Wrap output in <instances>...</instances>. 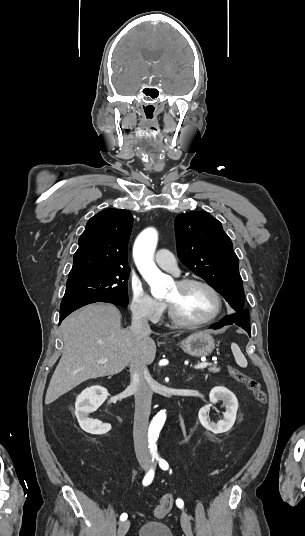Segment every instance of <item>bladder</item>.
<instances>
[{
    "label": "bladder",
    "instance_id": "obj_1",
    "mask_svg": "<svg viewBox=\"0 0 305 536\" xmlns=\"http://www.w3.org/2000/svg\"><path fill=\"white\" fill-rule=\"evenodd\" d=\"M136 536H173V532L164 521L147 520L138 526Z\"/></svg>",
    "mask_w": 305,
    "mask_h": 536
}]
</instances>
